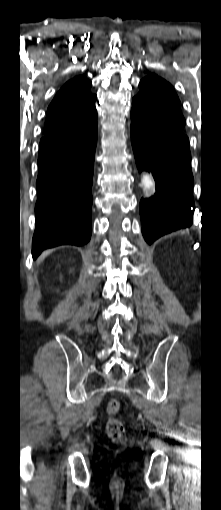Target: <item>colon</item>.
Masks as SVG:
<instances>
[{"label": "colon", "mask_w": 221, "mask_h": 510, "mask_svg": "<svg viewBox=\"0 0 221 510\" xmlns=\"http://www.w3.org/2000/svg\"><path fill=\"white\" fill-rule=\"evenodd\" d=\"M120 401L111 399L107 404L108 419L105 425V432L107 436L116 443L122 442L125 439V429L122 422L116 418V414L120 410Z\"/></svg>", "instance_id": "colon-1"}]
</instances>
